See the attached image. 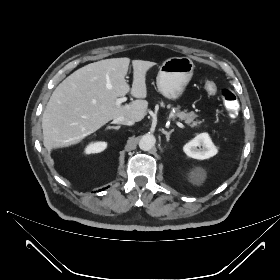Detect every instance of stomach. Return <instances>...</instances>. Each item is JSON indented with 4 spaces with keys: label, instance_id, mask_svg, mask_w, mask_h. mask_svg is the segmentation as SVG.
I'll list each match as a JSON object with an SVG mask.
<instances>
[{
    "label": "stomach",
    "instance_id": "stomach-1",
    "mask_svg": "<svg viewBox=\"0 0 280 280\" xmlns=\"http://www.w3.org/2000/svg\"><path fill=\"white\" fill-rule=\"evenodd\" d=\"M194 67L193 61L188 57L165 60L159 67L156 78L158 91L169 100L179 99L192 78Z\"/></svg>",
    "mask_w": 280,
    "mask_h": 280
}]
</instances>
